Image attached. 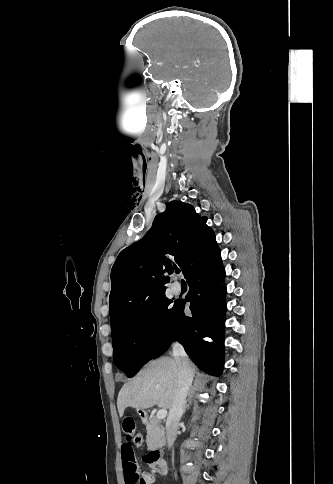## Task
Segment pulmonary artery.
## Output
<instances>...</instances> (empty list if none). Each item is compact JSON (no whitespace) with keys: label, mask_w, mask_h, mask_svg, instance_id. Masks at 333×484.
<instances>
[{"label":"pulmonary artery","mask_w":333,"mask_h":484,"mask_svg":"<svg viewBox=\"0 0 333 484\" xmlns=\"http://www.w3.org/2000/svg\"><path fill=\"white\" fill-rule=\"evenodd\" d=\"M171 290L176 295L180 294L181 291H182L181 284L177 281L173 282L172 285H171Z\"/></svg>","instance_id":"e3ab8cb5"}]
</instances>
